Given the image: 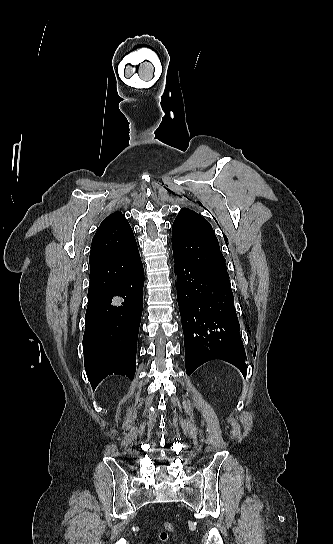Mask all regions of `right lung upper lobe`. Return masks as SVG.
I'll list each match as a JSON object with an SVG mask.
<instances>
[{"label":"right lung upper lobe","mask_w":333,"mask_h":544,"mask_svg":"<svg viewBox=\"0 0 333 544\" xmlns=\"http://www.w3.org/2000/svg\"><path fill=\"white\" fill-rule=\"evenodd\" d=\"M88 295L105 290L141 262L133 231L121 212H114L102 221L93 240Z\"/></svg>","instance_id":"right-lung-upper-lobe-1"}]
</instances>
